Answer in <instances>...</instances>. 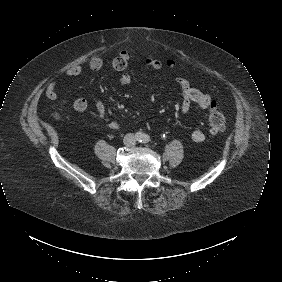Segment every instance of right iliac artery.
<instances>
[{
    "label": "right iliac artery",
    "instance_id": "obj_1",
    "mask_svg": "<svg viewBox=\"0 0 282 282\" xmlns=\"http://www.w3.org/2000/svg\"><path fill=\"white\" fill-rule=\"evenodd\" d=\"M136 139L139 141H142V134L141 133H137L136 134Z\"/></svg>",
    "mask_w": 282,
    "mask_h": 282
}]
</instances>
